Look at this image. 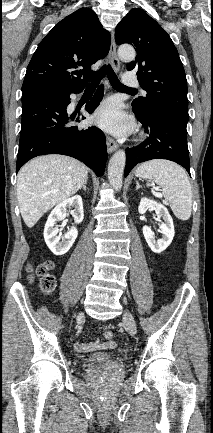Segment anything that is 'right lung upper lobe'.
Instances as JSON below:
<instances>
[{"label": "right lung upper lobe", "instance_id": "cb5924a9", "mask_svg": "<svg viewBox=\"0 0 213 433\" xmlns=\"http://www.w3.org/2000/svg\"><path fill=\"white\" fill-rule=\"evenodd\" d=\"M109 48L110 35L96 13L80 8L40 42L27 67L22 91L66 94L85 87L95 75L91 65L104 58Z\"/></svg>", "mask_w": 213, "mask_h": 433}]
</instances>
